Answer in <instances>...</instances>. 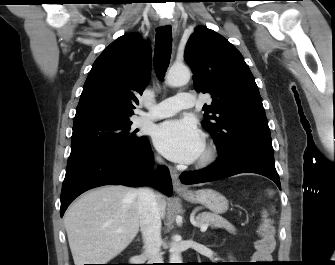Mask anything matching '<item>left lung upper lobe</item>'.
I'll use <instances>...</instances> for the list:
<instances>
[{
	"label": "left lung upper lobe",
	"instance_id": "5c2ea615",
	"mask_svg": "<svg viewBox=\"0 0 335 265\" xmlns=\"http://www.w3.org/2000/svg\"><path fill=\"white\" fill-rule=\"evenodd\" d=\"M197 92L209 93L203 126L218 153L239 146L273 153L268 120L255 79L241 53L213 30L197 27L184 55Z\"/></svg>",
	"mask_w": 335,
	"mask_h": 265
}]
</instances>
